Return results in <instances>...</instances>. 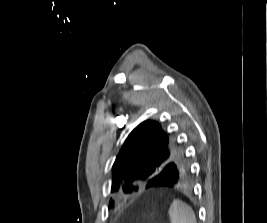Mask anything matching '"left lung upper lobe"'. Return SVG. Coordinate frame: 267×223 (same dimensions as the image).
I'll list each match as a JSON object with an SVG mask.
<instances>
[{"mask_svg":"<svg viewBox=\"0 0 267 223\" xmlns=\"http://www.w3.org/2000/svg\"><path fill=\"white\" fill-rule=\"evenodd\" d=\"M163 171H189V166L174 136L158 122L144 121L129 134L114 162L111 192L137 191L138 181L150 182L153 173Z\"/></svg>","mask_w":267,"mask_h":223,"instance_id":"obj_1","label":"left lung upper lobe"}]
</instances>
